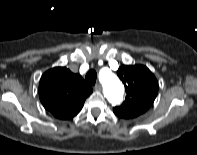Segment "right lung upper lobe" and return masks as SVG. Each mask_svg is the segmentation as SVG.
Masks as SVG:
<instances>
[{
  "label": "right lung upper lobe",
  "instance_id": "obj_1",
  "mask_svg": "<svg viewBox=\"0 0 197 155\" xmlns=\"http://www.w3.org/2000/svg\"><path fill=\"white\" fill-rule=\"evenodd\" d=\"M91 93L92 88L84 79L65 67L46 71L39 83V97L43 106L62 120L77 115Z\"/></svg>",
  "mask_w": 197,
  "mask_h": 155
}]
</instances>
